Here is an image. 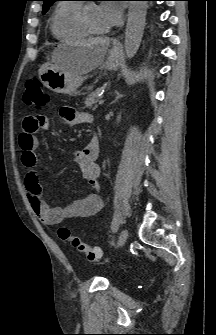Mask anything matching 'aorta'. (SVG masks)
<instances>
[{
    "instance_id": "1",
    "label": "aorta",
    "mask_w": 216,
    "mask_h": 335,
    "mask_svg": "<svg viewBox=\"0 0 216 335\" xmlns=\"http://www.w3.org/2000/svg\"><path fill=\"white\" fill-rule=\"evenodd\" d=\"M147 8L146 1L130 2L124 42L125 53L129 59L133 58L139 49L144 33Z\"/></svg>"
}]
</instances>
